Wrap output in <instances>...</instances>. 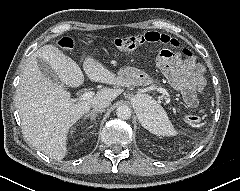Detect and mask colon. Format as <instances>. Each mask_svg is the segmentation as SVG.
Returning a JSON list of instances; mask_svg holds the SVG:
<instances>
[{
    "label": "colon",
    "mask_w": 240,
    "mask_h": 191,
    "mask_svg": "<svg viewBox=\"0 0 240 191\" xmlns=\"http://www.w3.org/2000/svg\"><path fill=\"white\" fill-rule=\"evenodd\" d=\"M58 44L61 48L66 50H71L74 46L73 41L68 37L62 38ZM144 44H160L166 47L159 54V64L162 68H165L166 62L171 59L173 55V49L180 48V44L176 39L158 32H147L143 35L120 37L114 41L115 48L120 51H133ZM181 53L186 58L193 57L191 51L187 48H182ZM186 118L189 123L194 125L200 124L203 120L201 112L196 110L190 112Z\"/></svg>",
    "instance_id": "5ec220e1"
}]
</instances>
